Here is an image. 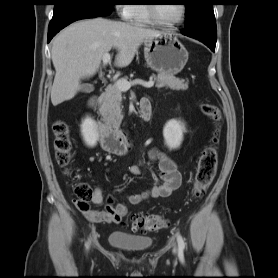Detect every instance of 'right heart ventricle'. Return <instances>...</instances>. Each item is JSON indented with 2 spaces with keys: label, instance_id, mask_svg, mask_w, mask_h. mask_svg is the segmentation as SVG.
I'll return each instance as SVG.
<instances>
[{
  "label": "right heart ventricle",
  "instance_id": "e07e8e85",
  "mask_svg": "<svg viewBox=\"0 0 278 278\" xmlns=\"http://www.w3.org/2000/svg\"><path fill=\"white\" fill-rule=\"evenodd\" d=\"M130 20L137 24H143V25L152 24L147 13V5L145 4L132 5V14Z\"/></svg>",
  "mask_w": 278,
  "mask_h": 278
}]
</instances>
